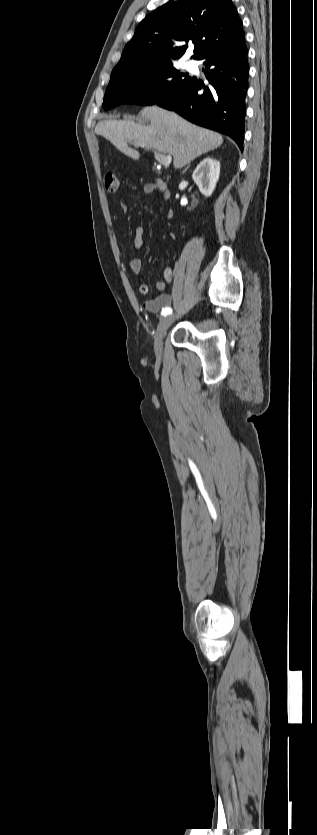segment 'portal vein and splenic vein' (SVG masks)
Returning <instances> with one entry per match:
<instances>
[{"instance_id": "obj_1", "label": "portal vein and splenic vein", "mask_w": 317, "mask_h": 835, "mask_svg": "<svg viewBox=\"0 0 317 835\" xmlns=\"http://www.w3.org/2000/svg\"><path fill=\"white\" fill-rule=\"evenodd\" d=\"M133 144H135V143L133 142ZM155 158H156V160H158L160 162V164H162L164 166H168L172 162L171 155H162L159 152H155Z\"/></svg>"}]
</instances>
